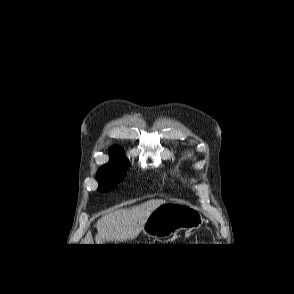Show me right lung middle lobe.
Here are the masks:
<instances>
[{
  "label": "right lung middle lobe",
  "instance_id": "dd1d6c3e",
  "mask_svg": "<svg viewBox=\"0 0 294 294\" xmlns=\"http://www.w3.org/2000/svg\"><path fill=\"white\" fill-rule=\"evenodd\" d=\"M128 162H109L97 172L99 190L107 192L115 188L116 184L126 176Z\"/></svg>",
  "mask_w": 294,
  "mask_h": 294
}]
</instances>
